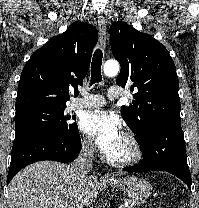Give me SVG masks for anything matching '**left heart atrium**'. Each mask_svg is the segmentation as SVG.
<instances>
[{"label": "left heart atrium", "instance_id": "obj_1", "mask_svg": "<svg viewBox=\"0 0 199 208\" xmlns=\"http://www.w3.org/2000/svg\"><path fill=\"white\" fill-rule=\"evenodd\" d=\"M80 130L93 138L105 155L121 141L122 126L119 119L103 110L86 113L80 119Z\"/></svg>", "mask_w": 199, "mask_h": 208}]
</instances>
